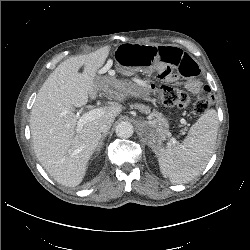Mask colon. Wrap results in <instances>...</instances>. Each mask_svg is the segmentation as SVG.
Returning <instances> with one entry per match:
<instances>
[{
  "label": "colon",
  "mask_w": 250,
  "mask_h": 250,
  "mask_svg": "<svg viewBox=\"0 0 250 250\" xmlns=\"http://www.w3.org/2000/svg\"><path fill=\"white\" fill-rule=\"evenodd\" d=\"M149 87L150 90L157 94L161 101L167 106L182 108L189 103L188 95L176 87L155 85H150ZM213 101L214 97L210 89L205 87L194 103V113L197 115L203 114L213 104Z\"/></svg>",
  "instance_id": "obj_1"
}]
</instances>
